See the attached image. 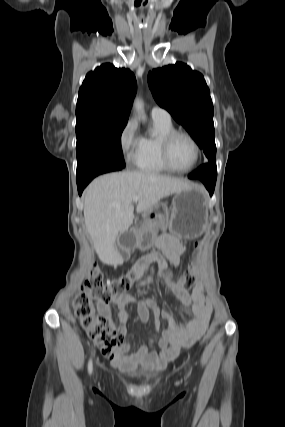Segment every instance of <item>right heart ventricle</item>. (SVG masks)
Masks as SVG:
<instances>
[{"mask_svg":"<svg viewBox=\"0 0 285 427\" xmlns=\"http://www.w3.org/2000/svg\"><path fill=\"white\" fill-rule=\"evenodd\" d=\"M154 131L140 137V144L134 158L136 167L144 172L163 173L168 169L164 166L160 156V142L162 137L174 130L171 121L153 119Z\"/></svg>","mask_w":285,"mask_h":427,"instance_id":"e07e8e85","label":"right heart ventricle"}]
</instances>
